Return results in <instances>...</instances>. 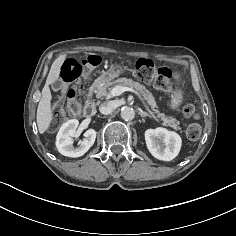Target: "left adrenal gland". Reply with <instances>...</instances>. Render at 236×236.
<instances>
[{
  "label": "left adrenal gland",
  "mask_w": 236,
  "mask_h": 236,
  "mask_svg": "<svg viewBox=\"0 0 236 236\" xmlns=\"http://www.w3.org/2000/svg\"><path fill=\"white\" fill-rule=\"evenodd\" d=\"M138 114H139L143 119H144V117H150V118H151V116H150L148 113L142 111L141 109H139Z\"/></svg>",
  "instance_id": "obj_1"
}]
</instances>
